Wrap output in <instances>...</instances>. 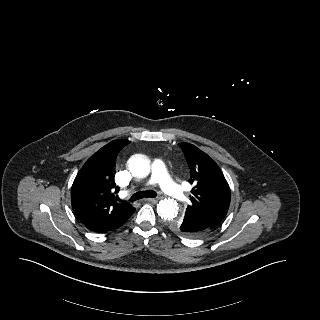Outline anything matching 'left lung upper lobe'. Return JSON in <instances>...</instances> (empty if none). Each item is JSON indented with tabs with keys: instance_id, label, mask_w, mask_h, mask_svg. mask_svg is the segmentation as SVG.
Wrapping results in <instances>:
<instances>
[{
	"instance_id": "obj_1",
	"label": "left lung upper lobe",
	"mask_w": 320,
	"mask_h": 320,
	"mask_svg": "<svg viewBox=\"0 0 320 320\" xmlns=\"http://www.w3.org/2000/svg\"><path fill=\"white\" fill-rule=\"evenodd\" d=\"M190 167V205L185 215H193L212 229L224 219L230 205V188L218 165L203 151L189 143H179ZM178 228L179 220L172 222Z\"/></svg>"
}]
</instances>
